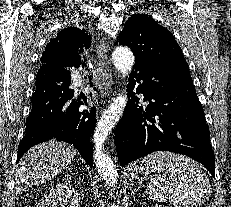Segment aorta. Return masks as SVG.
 Returning a JSON list of instances; mask_svg holds the SVG:
<instances>
[{
	"label": "aorta",
	"instance_id": "obj_1",
	"mask_svg": "<svg viewBox=\"0 0 231 207\" xmlns=\"http://www.w3.org/2000/svg\"><path fill=\"white\" fill-rule=\"evenodd\" d=\"M112 59L115 68L124 75L130 73L135 61L132 51L127 47H118L113 52ZM127 100L126 94H119L101 116L93 134L95 145L94 164L99 175L108 186H115L118 172L113 161L104 153L103 144L113 127L122 117Z\"/></svg>",
	"mask_w": 231,
	"mask_h": 207
}]
</instances>
